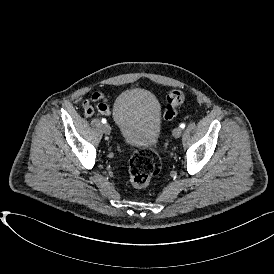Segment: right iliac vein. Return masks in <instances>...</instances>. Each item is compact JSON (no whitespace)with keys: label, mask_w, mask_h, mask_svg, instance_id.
I'll return each instance as SVG.
<instances>
[{"label":"right iliac vein","mask_w":274,"mask_h":274,"mask_svg":"<svg viewBox=\"0 0 274 274\" xmlns=\"http://www.w3.org/2000/svg\"><path fill=\"white\" fill-rule=\"evenodd\" d=\"M103 132L107 135L111 133V127H110L109 124H104L103 125Z\"/></svg>","instance_id":"right-iliac-vein-1"}]
</instances>
